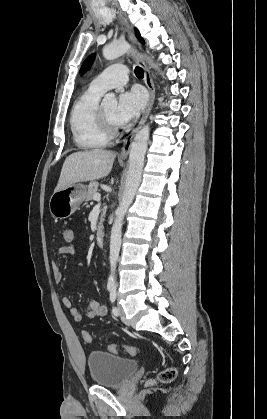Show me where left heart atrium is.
Instances as JSON below:
<instances>
[{
	"mask_svg": "<svg viewBox=\"0 0 267 419\" xmlns=\"http://www.w3.org/2000/svg\"><path fill=\"white\" fill-rule=\"evenodd\" d=\"M145 94L139 88H132L120 94L117 103L115 121L124 126L134 121L145 105Z\"/></svg>",
	"mask_w": 267,
	"mask_h": 419,
	"instance_id": "39dd6f15",
	"label": "left heart atrium"
}]
</instances>
